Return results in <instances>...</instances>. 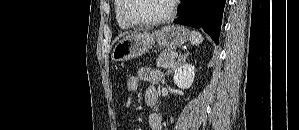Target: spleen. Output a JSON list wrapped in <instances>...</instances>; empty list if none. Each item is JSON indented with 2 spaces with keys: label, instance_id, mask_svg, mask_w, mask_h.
I'll return each instance as SVG.
<instances>
[{
  "label": "spleen",
  "instance_id": "3e777b00",
  "mask_svg": "<svg viewBox=\"0 0 299 130\" xmlns=\"http://www.w3.org/2000/svg\"><path fill=\"white\" fill-rule=\"evenodd\" d=\"M189 40L193 45H199L203 42V37L199 32H191L189 35Z\"/></svg>",
  "mask_w": 299,
  "mask_h": 130
}]
</instances>
